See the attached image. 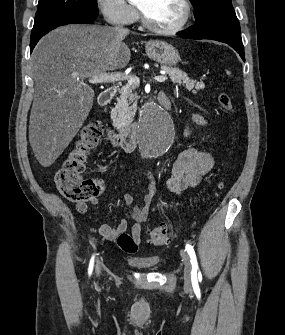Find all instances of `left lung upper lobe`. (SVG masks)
I'll use <instances>...</instances> for the list:
<instances>
[{"label": "left lung upper lobe", "mask_w": 285, "mask_h": 335, "mask_svg": "<svg viewBox=\"0 0 285 335\" xmlns=\"http://www.w3.org/2000/svg\"><path fill=\"white\" fill-rule=\"evenodd\" d=\"M198 20L212 11H233L231 0H190Z\"/></svg>", "instance_id": "obj_1"}]
</instances>
